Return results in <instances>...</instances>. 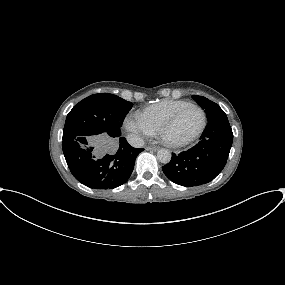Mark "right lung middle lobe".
I'll return each mask as SVG.
<instances>
[{
	"instance_id": "dd1d6c3e",
	"label": "right lung middle lobe",
	"mask_w": 285,
	"mask_h": 285,
	"mask_svg": "<svg viewBox=\"0 0 285 285\" xmlns=\"http://www.w3.org/2000/svg\"><path fill=\"white\" fill-rule=\"evenodd\" d=\"M132 106L131 102L109 93L88 96L67 115L62 139L119 137L120 127Z\"/></svg>"
}]
</instances>
